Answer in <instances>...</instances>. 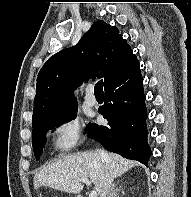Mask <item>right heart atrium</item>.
Segmentation results:
<instances>
[{
  "label": "right heart atrium",
  "instance_id": "obj_1",
  "mask_svg": "<svg viewBox=\"0 0 191 197\" xmlns=\"http://www.w3.org/2000/svg\"><path fill=\"white\" fill-rule=\"evenodd\" d=\"M82 141V127L78 117L71 116L60 120L54 127V149L64 153L75 148Z\"/></svg>",
  "mask_w": 191,
  "mask_h": 197
}]
</instances>
